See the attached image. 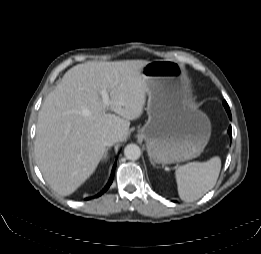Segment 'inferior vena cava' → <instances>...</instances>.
Returning <instances> with one entry per match:
<instances>
[{"mask_svg":"<svg viewBox=\"0 0 261 254\" xmlns=\"http://www.w3.org/2000/svg\"><path fill=\"white\" fill-rule=\"evenodd\" d=\"M119 141V137H118V134L117 133H112V134H109L105 140H104V144L106 146H112L114 145L116 142Z\"/></svg>","mask_w":261,"mask_h":254,"instance_id":"inferior-vena-cava-1","label":"inferior vena cava"}]
</instances>
